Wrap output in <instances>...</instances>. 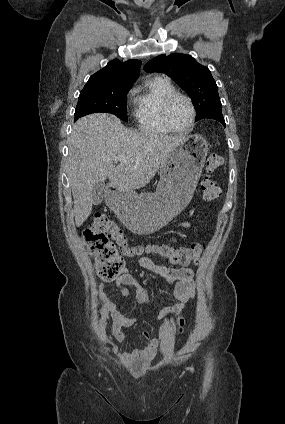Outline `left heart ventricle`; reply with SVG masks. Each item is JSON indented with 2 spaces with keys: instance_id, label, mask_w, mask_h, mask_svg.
Returning <instances> with one entry per match:
<instances>
[{
  "instance_id": "1",
  "label": "left heart ventricle",
  "mask_w": 285,
  "mask_h": 424,
  "mask_svg": "<svg viewBox=\"0 0 285 424\" xmlns=\"http://www.w3.org/2000/svg\"><path fill=\"white\" fill-rule=\"evenodd\" d=\"M191 118V110L188 103L181 98L176 99L169 109L170 123L178 129L185 128Z\"/></svg>"
}]
</instances>
